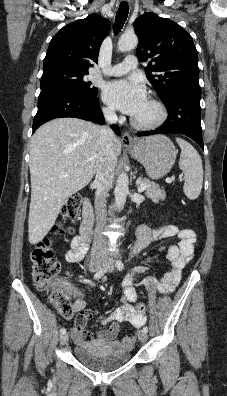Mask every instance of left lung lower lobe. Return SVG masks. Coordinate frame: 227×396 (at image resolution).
Here are the masks:
<instances>
[{
  "label": "left lung lower lobe",
  "mask_w": 227,
  "mask_h": 396,
  "mask_svg": "<svg viewBox=\"0 0 227 396\" xmlns=\"http://www.w3.org/2000/svg\"><path fill=\"white\" fill-rule=\"evenodd\" d=\"M200 96L201 90L192 89L172 93L166 101H163L169 110L168 119L164 124L156 130L138 132L137 135L184 134L192 138L203 149Z\"/></svg>",
  "instance_id": "1"
}]
</instances>
